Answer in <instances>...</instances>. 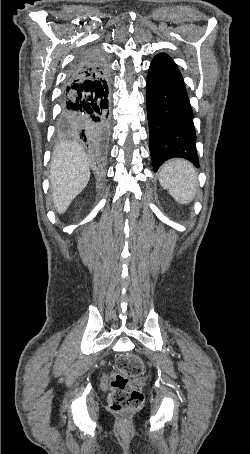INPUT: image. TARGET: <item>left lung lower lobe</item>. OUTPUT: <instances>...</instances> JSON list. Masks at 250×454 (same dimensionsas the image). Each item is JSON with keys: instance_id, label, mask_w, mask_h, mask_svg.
I'll use <instances>...</instances> for the list:
<instances>
[{"instance_id": "left-lung-lower-lobe-1", "label": "left lung lower lobe", "mask_w": 250, "mask_h": 454, "mask_svg": "<svg viewBox=\"0 0 250 454\" xmlns=\"http://www.w3.org/2000/svg\"><path fill=\"white\" fill-rule=\"evenodd\" d=\"M146 105L154 172L175 157L199 167L193 112L185 83L177 65L164 53L150 64Z\"/></svg>"}]
</instances>
